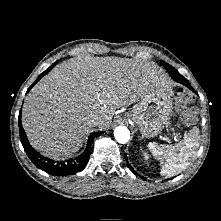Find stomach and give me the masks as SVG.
<instances>
[{
	"label": "stomach",
	"instance_id": "obj_1",
	"mask_svg": "<svg viewBox=\"0 0 221 221\" xmlns=\"http://www.w3.org/2000/svg\"><path fill=\"white\" fill-rule=\"evenodd\" d=\"M172 89L155 88L142 96L129 114L143 137H155L161 133L172 112Z\"/></svg>",
	"mask_w": 221,
	"mask_h": 221
}]
</instances>
